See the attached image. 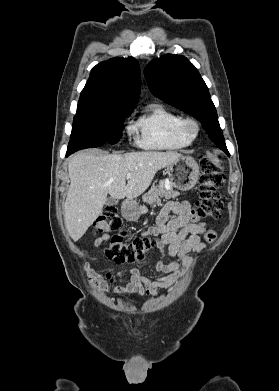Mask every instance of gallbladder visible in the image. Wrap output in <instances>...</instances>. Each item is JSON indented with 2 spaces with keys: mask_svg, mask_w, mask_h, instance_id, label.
<instances>
[{
  "mask_svg": "<svg viewBox=\"0 0 279 391\" xmlns=\"http://www.w3.org/2000/svg\"><path fill=\"white\" fill-rule=\"evenodd\" d=\"M115 204H117V201L113 198H108L106 200V205H115Z\"/></svg>",
  "mask_w": 279,
  "mask_h": 391,
  "instance_id": "gallbladder-1",
  "label": "gallbladder"
}]
</instances>
